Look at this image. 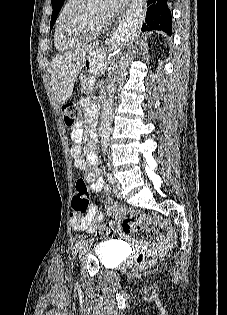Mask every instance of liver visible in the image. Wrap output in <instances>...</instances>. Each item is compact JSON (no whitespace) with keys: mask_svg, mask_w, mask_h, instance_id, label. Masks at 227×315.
<instances>
[{"mask_svg":"<svg viewBox=\"0 0 227 315\" xmlns=\"http://www.w3.org/2000/svg\"><path fill=\"white\" fill-rule=\"evenodd\" d=\"M108 51L98 48L97 44L79 47L57 55L50 63V84L59 104H64L71 97L74 84L88 55H93L95 71H105L108 65Z\"/></svg>","mask_w":227,"mask_h":315,"instance_id":"liver-1","label":"liver"}]
</instances>
